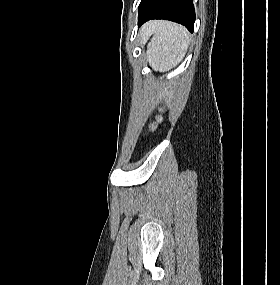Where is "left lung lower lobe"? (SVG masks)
I'll use <instances>...</instances> for the list:
<instances>
[{
	"mask_svg": "<svg viewBox=\"0 0 280 285\" xmlns=\"http://www.w3.org/2000/svg\"><path fill=\"white\" fill-rule=\"evenodd\" d=\"M150 19L171 20L193 32L195 12L192 0H141L138 25Z\"/></svg>",
	"mask_w": 280,
	"mask_h": 285,
	"instance_id": "0a47b994",
	"label": "left lung lower lobe"
}]
</instances>
